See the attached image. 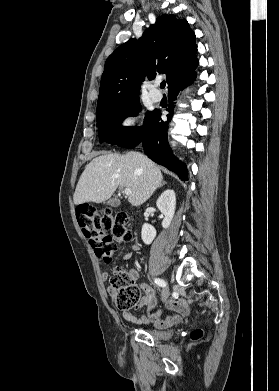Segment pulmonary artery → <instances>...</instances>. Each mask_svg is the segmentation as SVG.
<instances>
[{"mask_svg":"<svg viewBox=\"0 0 279 391\" xmlns=\"http://www.w3.org/2000/svg\"><path fill=\"white\" fill-rule=\"evenodd\" d=\"M149 97L152 99L153 102H159L162 99V94L157 89L154 88V86H150L148 89Z\"/></svg>","mask_w":279,"mask_h":391,"instance_id":"pulmonary-artery-1","label":"pulmonary artery"}]
</instances>
